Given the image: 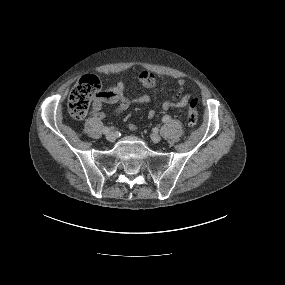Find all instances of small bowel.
<instances>
[{
  "instance_id": "obj_1",
  "label": "small bowel",
  "mask_w": 285,
  "mask_h": 285,
  "mask_svg": "<svg viewBox=\"0 0 285 285\" xmlns=\"http://www.w3.org/2000/svg\"><path fill=\"white\" fill-rule=\"evenodd\" d=\"M139 81L143 87L153 89L156 87L155 77L147 72H143L139 75ZM186 81L179 79L177 81V88L174 92L172 99L166 100L162 104V109L165 112L170 111L173 108H183L188 105L191 95L185 93ZM126 85L123 81H118L114 86L109 87L101 92V95L93 102L92 115L95 119H103L105 117V107L114 106V112L122 113L132 105L146 104L150 101V95L147 93L128 96L125 94ZM156 112L150 110L147 114L149 119L154 118ZM136 124H129V129L135 130Z\"/></svg>"
}]
</instances>
